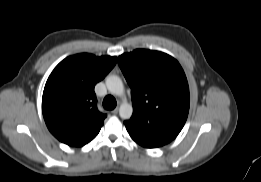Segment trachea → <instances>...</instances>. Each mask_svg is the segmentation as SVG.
<instances>
[{"mask_svg": "<svg viewBox=\"0 0 261 182\" xmlns=\"http://www.w3.org/2000/svg\"><path fill=\"white\" fill-rule=\"evenodd\" d=\"M117 102L115 98L111 95H108L103 100V107L107 110H112L116 107Z\"/></svg>", "mask_w": 261, "mask_h": 182, "instance_id": "1", "label": "trachea"}]
</instances>
